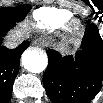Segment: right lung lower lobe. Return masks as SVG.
Instances as JSON below:
<instances>
[{
    "label": "right lung lower lobe",
    "mask_w": 103,
    "mask_h": 103,
    "mask_svg": "<svg viewBox=\"0 0 103 103\" xmlns=\"http://www.w3.org/2000/svg\"><path fill=\"white\" fill-rule=\"evenodd\" d=\"M15 25L14 22L0 23V45L2 37ZM28 46V41H24L15 49L0 46V101L2 102L8 101L11 97L13 82L19 70L20 57Z\"/></svg>",
    "instance_id": "1"
}]
</instances>
